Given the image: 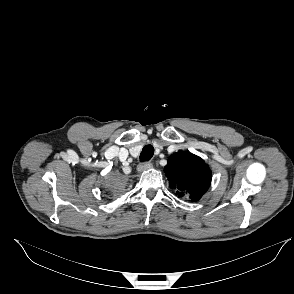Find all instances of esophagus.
<instances>
[{"mask_svg": "<svg viewBox=\"0 0 294 294\" xmlns=\"http://www.w3.org/2000/svg\"><path fill=\"white\" fill-rule=\"evenodd\" d=\"M150 168H152V163L144 162V163H141L138 165L137 170H138V172H143V171L148 170Z\"/></svg>", "mask_w": 294, "mask_h": 294, "instance_id": "1", "label": "esophagus"}]
</instances>
